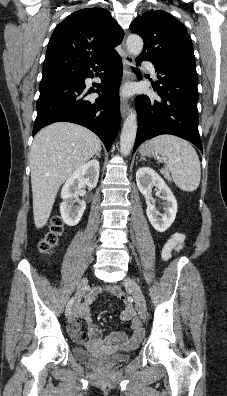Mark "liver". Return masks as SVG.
I'll use <instances>...</instances> for the list:
<instances>
[{"label":"liver","instance_id":"obj_1","mask_svg":"<svg viewBox=\"0 0 227 396\" xmlns=\"http://www.w3.org/2000/svg\"><path fill=\"white\" fill-rule=\"evenodd\" d=\"M100 150L101 140L73 123H54L35 135L30 168L36 228L46 225L62 183Z\"/></svg>","mask_w":227,"mask_h":396}]
</instances>
